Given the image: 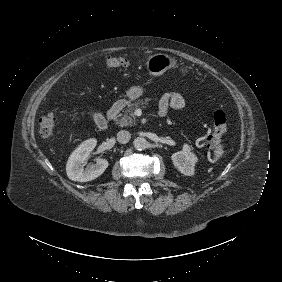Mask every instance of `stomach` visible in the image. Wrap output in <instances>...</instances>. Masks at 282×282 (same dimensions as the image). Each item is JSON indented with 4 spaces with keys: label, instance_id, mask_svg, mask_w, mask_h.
I'll return each mask as SVG.
<instances>
[{
    "label": "stomach",
    "instance_id": "obj_1",
    "mask_svg": "<svg viewBox=\"0 0 282 282\" xmlns=\"http://www.w3.org/2000/svg\"><path fill=\"white\" fill-rule=\"evenodd\" d=\"M145 66L148 75L153 78L163 76L169 70H178L182 76H193L192 71L187 66L180 65L175 57L164 53H154L148 56ZM145 92L146 88L143 85H132L127 89L126 97L132 102L142 97Z\"/></svg>",
    "mask_w": 282,
    "mask_h": 282
}]
</instances>
